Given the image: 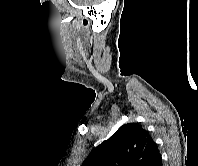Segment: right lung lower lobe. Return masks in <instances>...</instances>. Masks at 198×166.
Masks as SVG:
<instances>
[{
	"label": "right lung lower lobe",
	"instance_id": "1",
	"mask_svg": "<svg viewBox=\"0 0 198 166\" xmlns=\"http://www.w3.org/2000/svg\"><path fill=\"white\" fill-rule=\"evenodd\" d=\"M149 166H162V158L161 155H157L152 162L149 164Z\"/></svg>",
	"mask_w": 198,
	"mask_h": 166
}]
</instances>
